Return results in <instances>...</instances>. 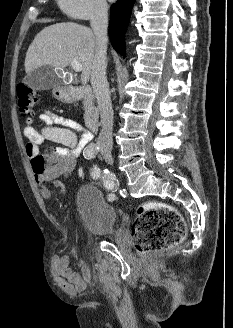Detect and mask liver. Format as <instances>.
<instances>
[{"mask_svg": "<svg viewBox=\"0 0 233 328\" xmlns=\"http://www.w3.org/2000/svg\"><path fill=\"white\" fill-rule=\"evenodd\" d=\"M96 51V36L86 26L63 22L45 27L30 44L25 58L27 74L49 65L57 69L67 67L76 59L82 65L81 82L86 85Z\"/></svg>", "mask_w": 233, "mask_h": 328, "instance_id": "obj_1", "label": "liver"}]
</instances>
